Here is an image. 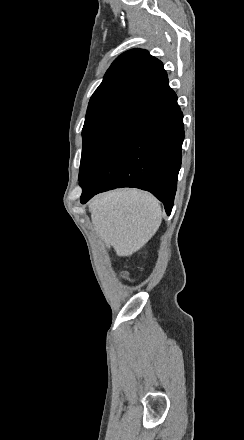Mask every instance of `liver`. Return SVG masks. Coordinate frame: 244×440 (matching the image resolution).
<instances>
[{
  "label": "liver",
  "mask_w": 244,
  "mask_h": 440,
  "mask_svg": "<svg viewBox=\"0 0 244 440\" xmlns=\"http://www.w3.org/2000/svg\"><path fill=\"white\" fill-rule=\"evenodd\" d=\"M94 230L117 256L141 250L162 222L161 206L149 192L124 188L100 194L89 202Z\"/></svg>",
  "instance_id": "1"
}]
</instances>
